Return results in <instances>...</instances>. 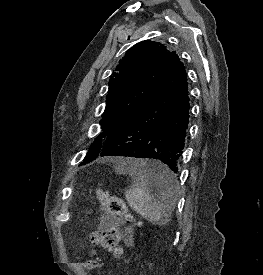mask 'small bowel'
<instances>
[{"mask_svg": "<svg viewBox=\"0 0 263 275\" xmlns=\"http://www.w3.org/2000/svg\"><path fill=\"white\" fill-rule=\"evenodd\" d=\"M121 238H122V241L126 244V245H130L131 242H132V239H131V231L129 228H123L121 230Z\"/></svg>", "mask_w": 263, "mask_h": 275, "instance_id": "small-bowel-1", "label": "small bowel"}]
</instances>
